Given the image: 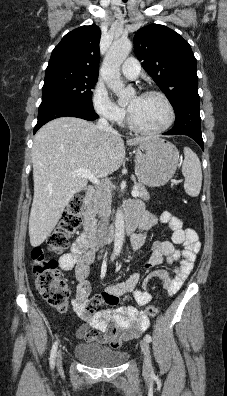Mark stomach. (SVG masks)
Returning a JSON list of instances; mask_svg holds the SVG:
<instances>
[{"instance_id": "obj_1", "label": "stomach", "mask_w": 227, "mask_h": 396, "mask_svg": "<svg viewBox=\"0 0 227 396\" xmlns=\"http://www.w3.org/2000/svg\"><path fill=\"white\" fill-rule=\"evenodd\" d=\"M135 174L140 183L149 187L165 185L175 174L179 152L170 142L158 137L139 144L135 149Z\"/></svg>"}]
</instances>
